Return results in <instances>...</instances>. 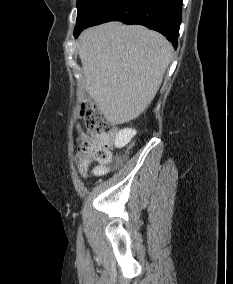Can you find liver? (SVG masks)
Returning <instances> with one entry per match:
<instances>
[{"label": "liver", "instance_id": "6515ba94", "mask_svg": "<svg viewBox=\"0 0 233 284\" xmlns=\"http://www.w3.org/2000/svg\"><path fill=\"white\" fill-rule=\"evenodd\" d=\"M85 90L112 124L136 119L154 99L173 47L141 25L109 22L79 38Z\"/></svg>", "mask_w": 233, "mask_h": 284}]
</instances>
